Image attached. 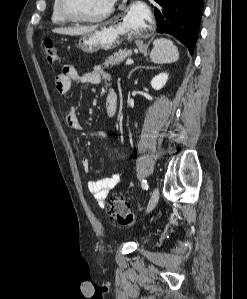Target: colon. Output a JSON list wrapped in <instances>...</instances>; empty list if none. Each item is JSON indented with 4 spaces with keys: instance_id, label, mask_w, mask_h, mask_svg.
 Masks as SVG:
<instances>
[{
    "instance_id": "5ec220e1",
    "label": "colon",
    "mask_w": 247,
    "mask_h": 299,
    "mask_svg": "<svg viewBox=\"0 0 247 299\" xmlns=\"http://www.w3.org/2000/svg\"><path fill=\"white\" fill-rule=\"evenodd\" d=\"M43 46L47 62L50 64L57 63L59 61V53L53 40L45 39ZM108 213L113 220L124 226L131 225L135 219L129 203L121 198L109 200Z\"/></svg>"
}]
</instances>
